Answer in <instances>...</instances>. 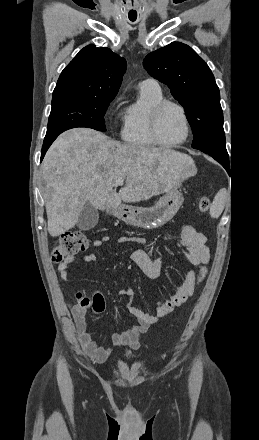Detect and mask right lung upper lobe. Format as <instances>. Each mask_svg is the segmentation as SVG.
Instances as JSON below:
<instances>
[{
    "instance_id": "1",
    "label": "right lung upper lobe",
    "mask_w": 259,
    "mask_h": 440,
    "mask_svg": "<svg viewBox=\"0 0 259 440\" xmlns=\"http://www.w3.org/2000/svg\"><path fill=\"white\" fill-rule=\"evenodd\" d=\"M126 70V61L109 48L84 47L62 71L53 96L78 94L115 97Z\"/></svg>"
}]
</instances>
